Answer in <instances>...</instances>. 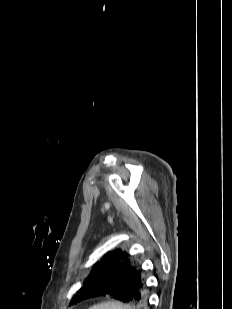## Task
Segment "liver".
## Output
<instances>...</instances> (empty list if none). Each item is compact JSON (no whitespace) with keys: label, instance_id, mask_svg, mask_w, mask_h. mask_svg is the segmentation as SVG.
<instances>
[{"label":"liver","instance_id":"liver-1","mask_svg":"<svg viewBox=\"0 0 232 309\" xmlns=\"http://www.w3.org/2000/svg\"><path fill=\"white\" fill-rule=\"evenodd\" d=\"M89 309H134L132 306L124 305L117 301H107L90 307Z\"/></svg>","mask_w":232,"mask_h":309}]
</instances>
